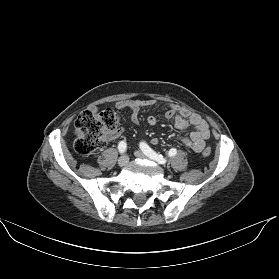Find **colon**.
Masks as SVG:
<instances>
[{
  "instance_id": "obj_1",
  "label": "colon",
  "mask_w": 279,
  "mask_h": 279,
  "mask_svg": "<svg viewBox=\"0 0 279 279\" xmlns=\"http://www.w3.org/2000/svg\"><path fill=\"white\" fill-rule=\"evenodd\" d=\"M118 123L119 116L113 109L81 112L75 121L74 129L76 153L81 157L91 155L105 143L107 137L117 128ZM210 153L209 147L202 150L204 156Z\"/></svg>"
}]
</instances>
